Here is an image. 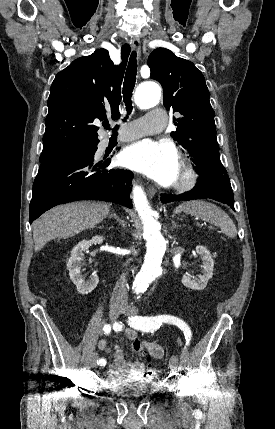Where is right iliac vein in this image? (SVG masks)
Listing matches in <instances>:
<instances>
[{
	"instance_id": "1",
	"label": "right iliac vein",
	"mask_w": 275,
	"mask_h": 429,
	"mask_svg": "<svg viewBox=\"0 0 275 429\" xmlns=\"http://www.w3.org/2000/svg\"><path fill=\"white\" fill-rule=\"evenodd\" d=\"M122 305L120 303H111L109 315L112 321H115L122 311ZM98 354L94 353L91 358V366L97 367Z\"/></svg>"
}]
</instances>
